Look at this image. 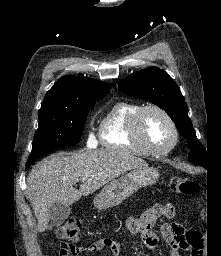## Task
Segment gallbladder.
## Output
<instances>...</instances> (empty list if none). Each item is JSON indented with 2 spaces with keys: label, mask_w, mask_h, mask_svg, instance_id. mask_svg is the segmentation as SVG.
Returning a JSON list of instances; mask_svg holds the SVG:
<instances>
[{
  "label": "gallbladder",
  "mask_w": 221,
  "mask_h": 256,
  "mask_svg": "<svg viewBox=\"0 0 221 256\" xmlns=\"http://www.w3.org/2000/svg\"><path fill=\"white\" fill-rule=\"evenodd\" d=\"M71 208L68 205L55 203L50 208V229L54 226H60L69 217Z\"/></svg>",
  "instance_id": "1"
}]
</instances>
